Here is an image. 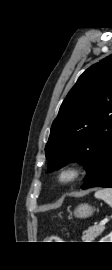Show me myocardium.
I'll return each mask as SVG.
<instances>
[{"instance_id":"obj_1","label":"myocardium","mask_w":112,"mask_h":270,"mask_svg":"<svg viewBox=\"0 0 112 270\" xmlns=\"http://www.w3.org/2000/svg\"><path fill=\"white\" fill-rule=\"evenodd\" d=\"M83 175L82 167L76 162H67L61 165L55 173V181L66 187L78 181Z\"/></svg>"}]
</instances>
